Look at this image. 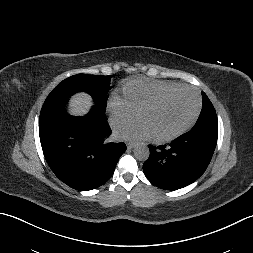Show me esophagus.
<instances>
[{
	"instance_id": "obj_1",
	"label": "esophagus",
	"mask_w": 253,
	"mask_h": 253,
	"mask_svg": "<svg viewBox=\"0 0 253 253\" xmlns=\"http://www.w3.org/2000/svg\"><path fill=\"white\" fill-rule=\"evenodd\" d=\"M134 146H135V143H133V142H128L127 143V148L128 149H132Z\"/></svg>"
}]
</instances>
